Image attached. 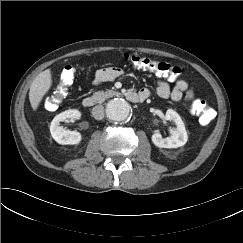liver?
<instances>
[{
    "mask_svg": "<svg viewBox=\"0 0 243 243\" xmlns=\"http://www.w3.org/2000/svg\"><path fill=\"white\" fill-rule=\"evenodd\" d=\"M52 86L51 70L47 69L36 76L30 86L29 100L33 110H37L44 95Z\"/></svg>",
    "mask_w": 243,
    "mask_h": 243,
    "instance_id": "6515ba94",
    "label": "liver"
}]
</instances>
